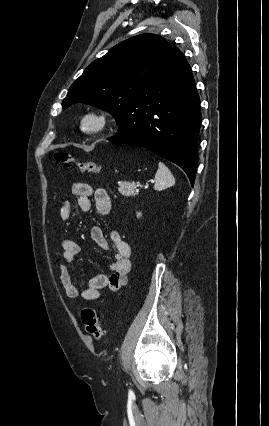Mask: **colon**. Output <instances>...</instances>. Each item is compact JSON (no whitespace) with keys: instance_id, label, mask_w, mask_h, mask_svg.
I'll list each match as a JSON object with an SVG mask.
<instances>
[{"instance_id":"obj_1","label":"colon","mask_w":269,"mask_h":426,"mask_svg":"<svg viewBox=\"0 0 269 426\" xmlns=\"http://www.w3.org/2000/svg\"><path fill=\"white\" fill-rule=\"evenodd\" d=\"M54 158L64 165H76L82 172L100 173L101 166L94 161H82L75 159L72 155L65 151H58L54 154ZM102 313L97 307H86L81 312L82 322L85 326L87 333L95 339H102L104 337V330L101 322Z\"/></svg>"}]
</instances>
